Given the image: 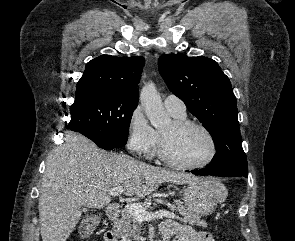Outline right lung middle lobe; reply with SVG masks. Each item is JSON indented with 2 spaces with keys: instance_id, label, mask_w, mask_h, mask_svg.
Masks as SVG:
<instances>
[{
  "instance_id": "1",
  "label": "right lung middle lobe",
  "mask_w": 295,
  "mask_h": 241,
  "mask_svg": "<svg viewBox=\"0 0 295 241\" xmlns=\"http://www.w3.org/2000/svg\"><path fill=\"white\" fill-rule=\"evenodd\" d=\"M138 102L93 92L75 99L67 128L110 150L127 143L129 125Z\"/></svg>"
}]
</instances>
